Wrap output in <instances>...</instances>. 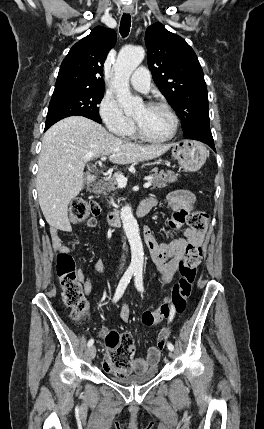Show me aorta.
Returning a JSON list of instances; mask_svg holds the SVG:
<instances>
[{
    "label": "aorta",
    "mask_w": 264,
    "mask_h": 429,
    "mask_svg": "<svg viewBox=\"0 0 264 429\" xmlns=\"http://www.w3.org/2000/svg\"><path fill=\"white\" fill-rule=\"evenodd\" d=\"M143 59L144 49L142 47L127 46L120 50L115 63L113 86L116 90L117 100L126 114L132 113L143 104L142 99L133 96L129 88V78ZM120 216L131 247L130 268L142 269L144 262L143 245L139 235V226L131 207L129 205L124 206Z\"/></svg>",
    "instance_id": "1"
}]
</instances>
